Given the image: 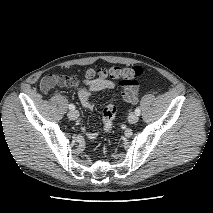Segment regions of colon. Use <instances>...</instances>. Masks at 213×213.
<instances>
[{
	"label": "colon",
	"instance_id": "1",
	"mask_svg": "<svg viewBox=\"0 0 213 213\" xmlns=\"http://www.w3.org/2000/svg\"><path fill=\"white\" fill-rule=\"evenodd\" d=\"M98 75L101 78H109L117 81L120 85L125 87L122 92V96L129 98L132 96V89L137 86V79L142 74V69L139 66L123 68L119 66H113L110 68H102L96 72H90V75ZM72 76H57V80L62 83H70L73 81ZM116 115V107L114 104H109L103 109L102 121L104 124L105 132L109 133L112 130L114 118Z\"/></svg>",
	"mask_w": 213,
	"mask_h": 213
}]
</instances>
